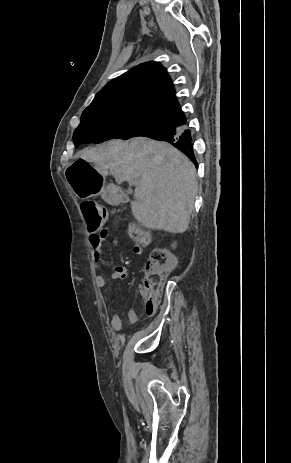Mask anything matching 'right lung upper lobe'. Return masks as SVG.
Instances as JSON below:
<instances>
[{
	"label": "right lung upper lobe",
	"mask_w": 291,
	"mask_h": 463,
	"mask_svg": "<svg viewBox=\"0 0 291 463\" xmlns=\"http://www.w3.org/2000/svg\"><path fill=\"white\" fill-rule=\"evenodd\" d=\"M86 109L143 113L186 123L171 78L157 62L140 64L108 82Z\"/></svg>",
	"instance_id": "1"
}]
</instances>
